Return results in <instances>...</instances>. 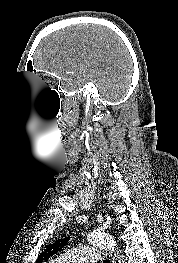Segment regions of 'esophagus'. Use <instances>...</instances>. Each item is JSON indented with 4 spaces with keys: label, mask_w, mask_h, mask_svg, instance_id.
<instances>
[{
    "label": "esophagus",
    "mask_w": 178,
    "mask_h": 263,
    "mask_svg": "<svg viewBox=\"0 0 178 263\" xmlns=\"http://www.w3.org/2000/svg\"><path fill=\"white\" fill-rule=\"evenodd\" d=\"M111 256H112V254H111ZM112 263H115V262H114V258H112Z\"/></svg>",
    "instance_id": "1"
}]
</instances>
